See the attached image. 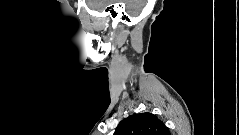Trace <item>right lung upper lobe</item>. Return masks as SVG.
Here are the masks:
<instances>
[{
    "label": "right lung upper lobe",
    "mask_w": 239,
    "mask_h": 135,
    "mask_svg": "<svg viewBox=\"0 0 239 135\" xmlns=\"http://www.w3.org/2000/svg\"><path fill=\"white\" fill-rule=\"evenodd\" d=\"M113 135H170V131L157 116L146 112L123 119Z\"/></svg>",
    "instance_id": "1"
}]
</instances>
